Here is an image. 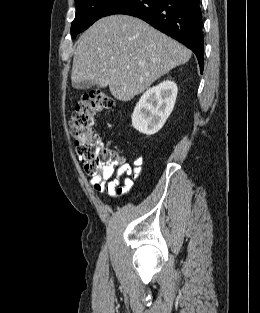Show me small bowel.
I'll use <instances>...</instances> for the list:
<instances>
[{"label":"small bowel","mask_w":260,"mask_h":313,"mask_svg":"<svg viewBox=\"0 0 260 313\" xmlns=\"http://www.w3.org/2000/svg\"><path fill=\"white\" fill-rule=\"evenodd\" d=\"M140 163L141 159L134 161L135 166H138ZM123 171L127 176L122 180L108 181L107 179L95 176L90 179V184L99 194L107 193L112 199H117L119 196L126 194L140 174L138 167L132 169L130 166H125Z\"/></svg>","instance_id":"obj_1"}]
</instances>
